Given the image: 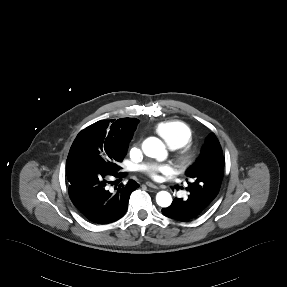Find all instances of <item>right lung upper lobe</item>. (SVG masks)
<instances>
[{"label": "right lung upper lobe", "mask_w": 287, "mask_h": 287, "mask_svg": "<svg viewBox=\"0 0 287 287\" xmlns=\"http://www.w3.org/2000/svg\"><path fill=\"white\" fill-rule=\"evenodd\" d=\"M138 120L135 118H121L118 120H101L87 128L96 139L112 146H128L136 129Z\"/></svg>", "instance_id": "1"}]
</instances>
